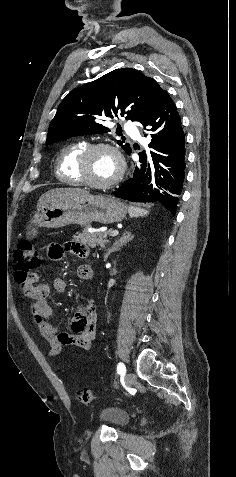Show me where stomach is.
<instances>
[{"label": "stomach", "mask_w": 236, "mask_h": 477, "mask_svg": "<svg viewBox=\"0 0 236 477\" xmlns=\"http://www.w3.org/2000/svg\"><path fill=\"white\" fill-rule=\"evenodd\" d=\"M126 214L127 207L121 201L88 193L41 208L26 228V236L30 240L36 238L39 227L60 228L71 224L85 226L92 222L112 224L121 222Z\"/></svg>", "instance_id": "1"}]
</instances>
